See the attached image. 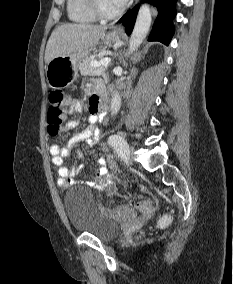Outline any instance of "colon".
<instances>
[{
	"mask_svg": "<svg viewBox=\"0 0 233 284\" xmlns=\"http://www.w3.org/2000/svg\"><path fill=\"white\" fill-rule=\"evenodd\" d=\"M68 95L59 89H54L49 95V107L47 112V130L51 136H56L62 131L66 118V107L69 104ZM154 208L152 200H142L134 205L121 206L113 210H107L112 216L126 220L133 218L135 214L146 215Z\"/></svg>",
	"mask_w": 233,
	"mask_h": 284,
	"instance_id": "5ec220e1",
	"label": "colon"
}]
</instances>
